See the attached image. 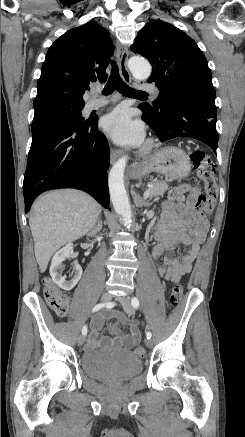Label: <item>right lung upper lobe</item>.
<instances>
[{
  "label": "right lung upper lobe",
  "mask_w": 245,
  "mask_h": 437,
  "mask_svg": "<svg viewBox=\"0 0 245 437\" xmlns=\"http://www.w3.org/2000/svg\"><path fill=\"white\" fill-rule=\"evenodd\" d=\"M113 52L109 32L95 21L67 31L46 54L34 109L55 103L84 105L89 84L106 81Z\"/></svg>",
  "instance_id": "obj_1"
}]
</instances>
